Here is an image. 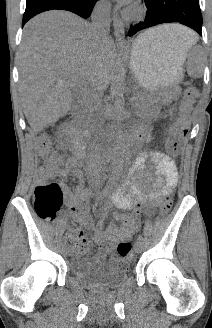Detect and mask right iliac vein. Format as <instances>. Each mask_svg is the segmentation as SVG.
<instances>
[{"label": "right iliac vein", "instance_id": "63e3f726", "mask_svg": "<svg viewBox=\"0 0 212 328\" xmlns=\"http://www.w3.org/2000/svg\"><path fill=\"white\" fill-rule=\"evenodd\" d=\"M63 253L66 256L70 254V247L68 245L63 246Z\"/></svg>", "mask_w": 212, "mask_h": 328}]
</instances>
